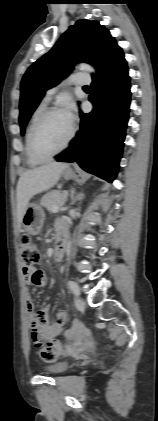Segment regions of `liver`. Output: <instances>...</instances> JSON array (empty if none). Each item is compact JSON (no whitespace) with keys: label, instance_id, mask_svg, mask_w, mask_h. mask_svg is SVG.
<instances>
[{"label":"liver","instance_id":"1","mask_svg":"<svg viewBox=\"0 0 158 421\" xmlns=\"http://www.w3.org/2000/svg\"><path fill=\"white\" fill-rule=\"evenodd\" d=\"M66 168H68L67 163L53 162L32 170H27L20 175L16 194L19 225L22 223V217L29 200L34 195L45 192L53 187Z\"/></svg>","mask_w":158,"mask_h":421}]
</instances>
